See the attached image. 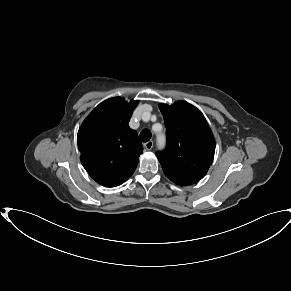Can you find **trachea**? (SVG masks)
<instances>
[{
  "instance_id": "obj_1",
  "label": "trachea",
  "mask_w": 291,
  "mask_h": 291,
  "mask_svg": "<svg viewBox=\"0 0 291 291\" xmlns=\"http://www.w3.org/2000/svg\"><path fill=\"white\" fill-rule=\"evenodd\" d=\"M151 138V132L149 130H143L140 133V139L142 142H148Z\"/></svg>"
}]
</instances>
